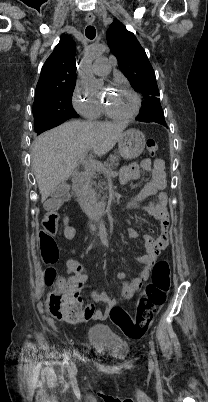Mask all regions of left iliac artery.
Wrapping results in <instances>:
<instances>
[{
  "label": "left iliac artery",
  "mask_w": 208,
  "mask_h": 402,
  "mask_svg": "<svg viewBox=\"0 0 208 402\" xmlns=\"http://www.w3.org/2000/svg\"><path fill=\"white\" fill-rule=\"evenodd\" d=\"M149 344H150V346H151V353H152V355L155 357V356H156V352H155V347H154V342H153V340H150Z\"/></svg>",
  "instance_id": "44dca946"
}]
</instances>
